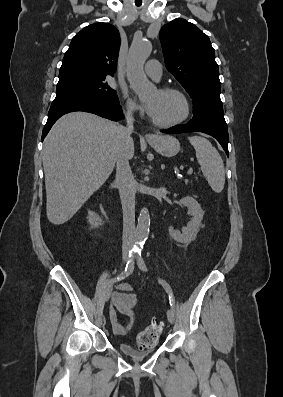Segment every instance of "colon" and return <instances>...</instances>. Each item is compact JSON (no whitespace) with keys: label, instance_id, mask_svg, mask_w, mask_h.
<instances>
[{"label":"colon","instance_id":"colon-1","mask_svg":"<svg viewBox=\"0 0 283 397\" xmlns=\"http://www.w3.org/2000/svg\"><path fill=\"white\" fill-rule=\"evenodd\" d=\"M163 326L160 323H152L141 331L137 336V345L140 348H147L157 342Z\"/></svg>","mask_w":283,"mask_h":397}]
</instances>
